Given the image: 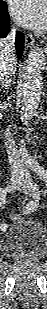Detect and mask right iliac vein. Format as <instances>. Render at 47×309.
Masks as SVG:
<instances>
[{
  "mask_svg": "<svg viewBox=\"0 0 47 309\" xmlns=\"http://www.w3.org/2000/svg\"><path fill=\"white\" fill-rule=\"evenodd\" d=\"M23 183V179L19 177H12L10 182L7 185V191L13 192L17 188H19Z\"/></svg>",
  "mask_w": 47,
  "mask_h": 309,
  "instance_id": "63e3f726",
  "label": "right iliac vein"
}]
</instances>
